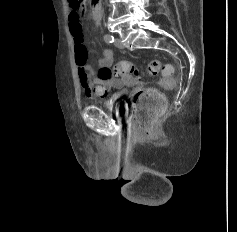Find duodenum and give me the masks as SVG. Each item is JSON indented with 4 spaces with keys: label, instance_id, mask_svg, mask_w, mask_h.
<instances>
[{
    "label": "duodenum",
    "instance_id": "duodenum-1",
    "mask_svg": "<svg viewBox=\"0 0 237 232\" xmlns=\"http://www.w3.org/2000/svg\"><path fill=\"white\" fill-rule=\"evenodd\" d=\"M93 4H97L98 0H92Z\"/></svg>",
    "mask_w": 237,
    "mask_h": 232
}]
</instances>
